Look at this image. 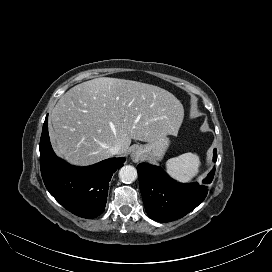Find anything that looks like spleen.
<instances>
[{
	"mask_svg": "<svg viewBox=\"0 0 272 272\" xmlns=\"http://www.w3.org/2000/svg\"><path fill=\"white\" fill-rule=\"evenodd\" d=\"M201 162L196 153H185L166 162L168 174L179 182H190L198 173Z\"/></svg>",
	"mask_w": 272,
	"mask_h": 272,
	"instance_id": "spleen-1",
	"label": "spleen"
}]
</instances>
